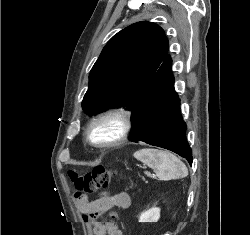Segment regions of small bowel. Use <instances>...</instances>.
Instances as JSON below:
<instances>
[{
    "mask_svg": "<svg viewBox=\"0 0 250 235\" xmlns=\"http://www.w3.org/2000/svg\"><path fill=\"white\" fill-rule=\"evenodd\" d=\"M131 205V197L126 192L106 194L93 202H82L80 211L89 216L86 222L92 227L93 235H123L122 229L116 224H103L98 222L94 214L111 209H128Z\"/></svg>",
    "mask_w": 250,
    "mask_h": 235,
    "instance_id": "c3829d8e",
    "label": "small bowel"
}]
</instances>
